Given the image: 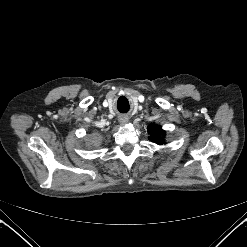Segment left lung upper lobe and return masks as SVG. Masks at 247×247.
I'll return each mask as SVG.
<instances>
[{
	"instance_id": "5c2ea615",
	"label": "left lung upper lobe",
	"mask_w": 247,
	"mask_h": 247,
	"mask_svg": "<svg viewBox=\"0 0 247 247\" xmlns=\"http://www.w3.org/2000/svg\"><path fill=\"white\" fill-rule=\"evenodd\" d=\"M148 131L151 134L150 140L155 142L158 145L165 144L164 135L165 131L159 125L150 124L148 127Z\"/></svg>"
}]
</instances>
